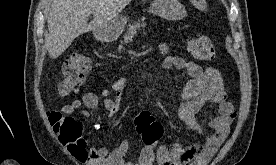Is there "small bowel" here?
<instances>
[{
	"mask_svg": "<svg viewBox=\"0 0 276 165\" xmlns=\"http://www.w3.org/2000/svg\"><path fill=\"white\" fill-rule=\"evenodd\" d=\"M163 68L166 70L175 68L189 78L181 92L178 107L179 118L189 128L204 135L197 116L201 114L205 105H213V111L217 115L209 122L213 133L207 136L203 146L164 144L155 151L152 146L145 145L137 160L132 162L126 159L130 146L128 140H122L114 148L95 145L88 147L87 140L82 136V145L68 146L70 153L86 165H153L155 162L158 165H207L226 140L236 117L233 106L227 100L222 76L214 67H202L179 56L166 57L163 61ZM126 87L127 80L122 77L101 90L100 95L104 99V107L110 115L118 112L119 102ZM112 94H115L114 98ZM82 106L85 107L81 110L82 114L89 116L90 112L99 106L98 95L92 91L86 92L81 100H73L64 105L60 113L69 116ZM100 128V124H94L95 130Z\"/></svg>",
	"mask_w": 276,
	"mask_h": 165,
	"instance_id": "small-bowel-1",
	"label": "small bowel"
}]
</instances>
